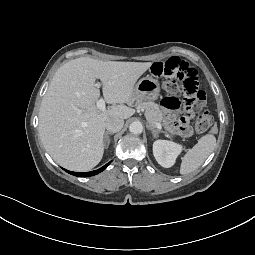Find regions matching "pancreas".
I'll return each instance as SVG.
<instances>
[{
	"label": "pancreas",
	"instance_id": "obj_1",
	"mask_svg": "<svg viewBox=\"0 0 255 255\" xmlns=\"http://www.w3.org/2000/svg\"><path fill=\"white\" fill-rule=\"evenodd\" d=\"M136 106L145 111V117L149 123L154 124L155 122H162L163 115L159 106L154 102H137Z\"/></svg>",
	"mask_w": 255,
	"mask_h": 255
}]
</instances>
